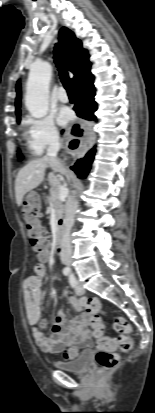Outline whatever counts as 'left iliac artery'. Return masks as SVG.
<instances>
[{
	"label": "left iliac artery",
	"instance_id": "obj_1",
	"mask_svg": "<svg viewBox=\"0 0 155 413\" xmlns=\"http://www.w3.org/2000/svg\"><path fill=\"white\" fill-rule=\"evenodd\" d=\"M69 283H70V285H71L72 287H74L75 284H76V279H75V277H74L73 274H70V275H69Z\"/></svg>",
	"mask_w": 155,
	"mask_h": 413
}]
</instances>
